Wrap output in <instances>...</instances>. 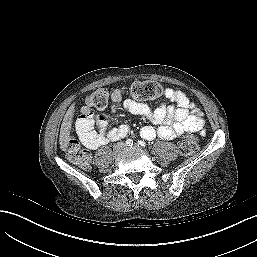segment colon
Segmentation results:
<instances>
[{
  "mask_svg": "<svg viewBox=\"0 0 257 257\" xmlns=\"http://www.w3.org/2000/svg\"><path fill=\"white\" fill-rule=\"evenodd\" d=\"M162 87L154 81H137L131 84L130 93L137 100H155L162 95ZM108 90L99 88L87 98L86 109L91 113L96 110H104L108 105ZM199 149L198 139L191 136L180 144V153L190 156ZM67 157L70 162L80 167H87L90 163L89 153L75 139H69L67 144Z\"/></svg>",
  "mask_w": 257,
  "mask_h": 257,
  "instance_id": "obj_1",
  "label": "colon"
}]
</instances>
